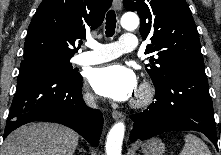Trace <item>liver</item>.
<instances>
[{"instance_id": "6515ba94", "label": "liver", "mask_w": 221, "mask_h": 155, "mask_svg": "<svg viewBox=\"0 0 221 155\" xmlns=\"http://www.w3.org/2000/svg\"><path fill=\"white\" fill-rule=\"evenodd\" d=\"M79 135L65 126L38 122L26 124L9 134L2 155H73Z\"/></svg>"}]
</instances>
